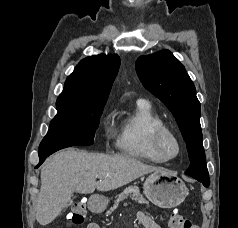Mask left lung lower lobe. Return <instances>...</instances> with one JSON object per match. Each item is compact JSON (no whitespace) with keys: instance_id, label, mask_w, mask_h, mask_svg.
<instances>
[{"instance_id":"1","label":"left lung lower lobe","mask_w":238,"mask_h":228,"mask_svg":"<svg viewBox=\"0 0 238 228\" xmlns=\"http://www.w3.org/2000/svg\"><path fill=\"white\" fill-rule=\"evenodd\" d=\"M186 174L189 175V176H192L195 179H197L199 182H202L205 187H208L210 185V180H209L208 176L197 175V174H188V173H186Z\"/></svg>"}]
</instances>
